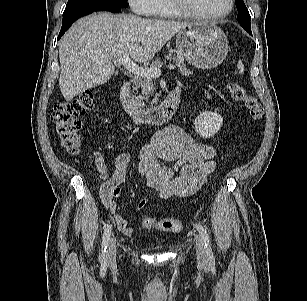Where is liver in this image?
<instances>
[{"mask_svg":"<svg viewBox=\"0 0 307 301\" xmlns=\"http://www.w3.org/2000/svg\"><path fill=\"white\" fill-rule=\"evenodd\" d=\"M190 23L145 19L133 14L97 13L79 19L59 43V86L66 101L107 83L112 60L128 54L143 63Z\"/></svg>","mask_w":307,"mask_h":301,"instance_id":"6515ba94","label":"liver"}]
</instances>
